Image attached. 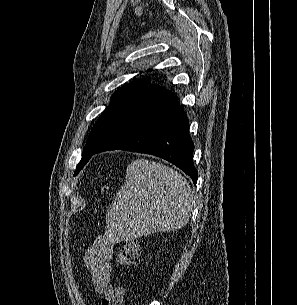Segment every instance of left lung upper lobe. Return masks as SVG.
I'll list each match as a JSON object with an SVG mask.
<instances>
[{
    "mask_svg": "<svg viewBox=\"0 0 297 305\" xmlns=\"http://www.w3.org/2000/svg\"><path fill=\"white\" fill-rule=\"evenodd\" d=\"M150 82L151 81L148 79L135 81L121 87L112 95V103L103 111L87 139L82 152V158L77 165L74 175L80 172L93 153L99 148L117 117L123 112L128 104L150 84Z\"/></svg>",
    "mask_w": 297,
    "mask_h": 305,
    "instance_id": "5c2ea615",
    "label": "left lung upper lobe"
}]
</instances>
